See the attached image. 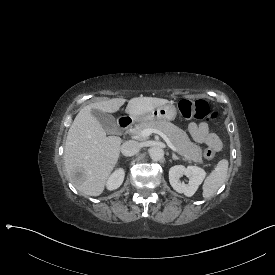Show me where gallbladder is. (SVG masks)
<instances>
[{"label": "gallbladder", "instance_id": "obj_1", "mask_svg": "<svg viewBox=\"0 0 275 275\" xmlns=\"http://www.w3.org/2000/svg\"><path fill=\"white\" fill-rule=\"evenodd\" d=\"M92 114L100 121L103 128L108 134H116L119 132L120 127L115 123L113 116L108 114H103L97 110H92Z\"/></svg>", "mask_w": 275, "mask_h": 275}]
</instances>
